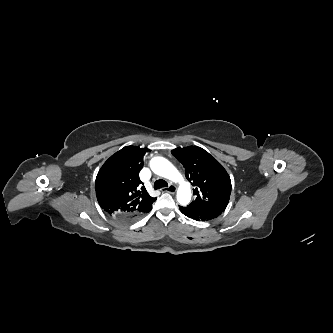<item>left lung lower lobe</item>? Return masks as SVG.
<instances>
[{
  "label": "left lung lower lobe",
  "instance_id": "left-lung-lower-lobe-1",
  "mask_svg": "<svg viewBox=\"0 0 333 333\" xmlns=\"http://www.w3.org/2000/svg\"><path fill=\"white\" fill-rule=\"evenodd\" d=\"M179 209L184 215L197 221L211 220L221 214L218 211H202L188 206H179Z\"/></svg>",
  "mask_w": 333,
  "mask_h": 333
}]
</instances>
